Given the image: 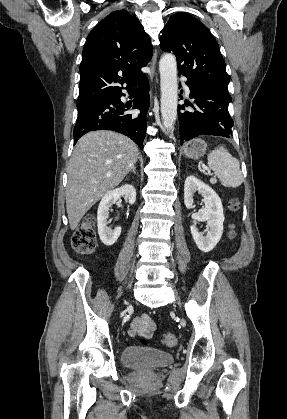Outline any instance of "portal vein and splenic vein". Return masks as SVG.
I'll return each instance as SVG.
<instances>
[{"label": "portal vein and splenic vein", "instance_id": "portal-vein-and-splenic-vein-1", "mask_svg": "<svg viewBox=\"0 0 287 419\" xmlns=\"http://www.w3.org/2000/svg\"><path fill=\"white\" fill-rule=\"evenodd\" d=\"M208 172L210 173V170H208ZM211 182L215 183L216 182V179L215 178H212L211 179Z\"/></svg>", "mask_w": 287, "mask_h": 419}]
</instances>
